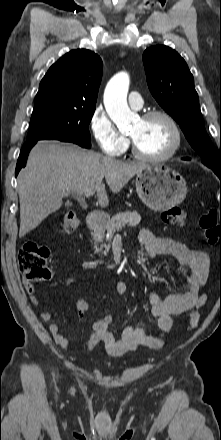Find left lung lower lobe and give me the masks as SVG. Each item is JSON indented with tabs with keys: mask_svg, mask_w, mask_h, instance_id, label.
<instances>
[{
	"mask_svg": "<svg viewBox=\"0 0 221 440\" xmlns=\"http://www.w3.org/2000/svg\"><path fill=\"white\" fill-rule=\"evenodd\" d=\"M185 160H189V158H184ZM215 173L217 174V176L221 177V171H215Z\"/></svg>",
	"mask_w": 221,
	"mask_h": 440,
	"instance_id": "obj_1",
	"label": "left lung lower lobe"
}]
</instances>
